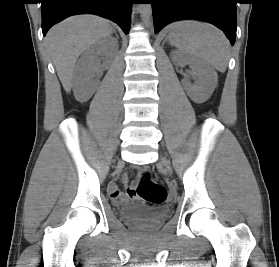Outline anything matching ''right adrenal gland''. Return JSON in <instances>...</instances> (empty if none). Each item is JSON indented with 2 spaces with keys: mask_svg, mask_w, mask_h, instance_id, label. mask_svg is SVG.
<instances>
[{
  "mask_svg": "<svg viewBox=\"0 0 279 267\" xmlns=\"http://www.w3.org/2000/svg\"><path fill=\"white\" fill-rule=\"evenodd\" d=\"M113 33H115L116 37L118 38V35H117V33L115 32V30L113 31Z\"/></svg>",
  "mask_w": 279,
  "mask_h": 267,
  "instance_id": "1",
  "label": "right adrenal gland"
}]
</instances>
